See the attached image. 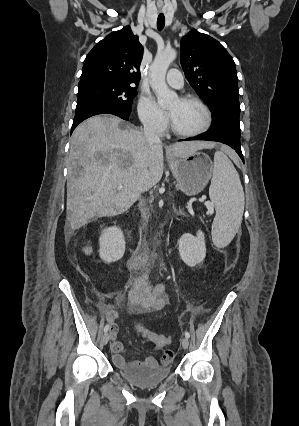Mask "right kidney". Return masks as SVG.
I'll return each instance as SVG.
<instances>
[{"mask_svg": "<svg viewBox=\"0 0 299 426\" xmlns=\"http://www.w3.org/2000/svg\"><path fill=\"white\" fill-rule=\"evenodd\" d=\"M99 255L105 263L120 260L125 252V239L122 231L116 227H109L102 231L99 238Z\"/></svg>", "mask_w": 299, "mask_h": 426, "instance_id": "right-kidney-1", "label": "right kidney"}]
</instances>
